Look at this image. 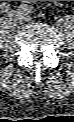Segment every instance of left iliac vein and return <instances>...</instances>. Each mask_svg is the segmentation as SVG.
<instances>
[{
    "label": "left iliac vein",
    "instance_id": "4c4485c4",
    "mask_svg": "<svg viewBox=\"0 0 74 122\" xmlns=\"http://www.w3.org/2000/svg\"><path fill=\"white\" fill-rule=\"evenodd\" d=\"M20 7H21V6H20ZM18 13L23 17V19H24L25 21H28V22H29V21L32 20V18H31L30 16L24 14L22 8L20 9V11H19Z\"/></svg>",
    "mask_w": 74,
    "mask_h": 122
}]
</instances>
